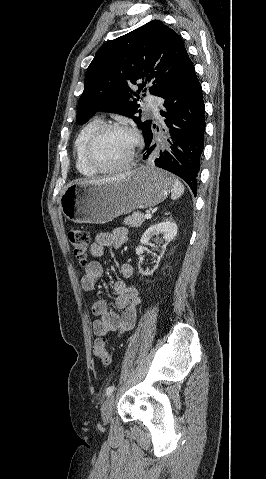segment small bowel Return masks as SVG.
I'll use <instances>...</instances> for the list:
<instances>
[{"mask_svg": "<svg viewBox=\"0 0 266 479\" xmlns=\"http://www.w3.org/2000/svg\"><path fill=\"white\" fill-rule=\"evenodd\" d=\"M126 235L127 231L124 228L96 234L90 247L91 255L93 257L101 256L106 247L121 248L126 242ZM119 271L122 279L114 281L112 287L116 295L115 306L121 310V313L110 311L106 300H96L92 305V312L97 318L93 321L92 326L93 332L97 336L115 335L120 338L135 326L137 310L141 304L140 291L138 286L124 280L133 272L129 263L121 264ZM102 276L103 267L98 261L88 263L81 278L83 290L94 291L97 281Z\"/></svg>", "mask_w": 266, "mask_h": 479, "instance_id": "c3829d8e", "label": "small bowel"}]
</instances>
